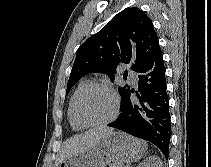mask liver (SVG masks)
<instances>
[{"label":"liver","instance_id":"obj_1","mask_svg":"<svg viewBox=\"0 0 211 167\" xmlns=\"http://www.w3.org/2000/svg\"><path fill=\"white\" fill-rule=\"evenodd\" d=\"M112 132L113 128L96 127L86 131L83 134H79L68 139L64 143L58 155V158L55 162V167L71 156L89 150Z\"/></svg>","mask_w":211,"mask_h":167}]
</instances>
